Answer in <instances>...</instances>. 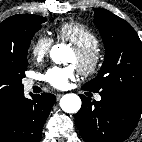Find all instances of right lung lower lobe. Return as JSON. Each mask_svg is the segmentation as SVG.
Segmentation results:
<instances>
[{"mask_svg": "<svg viewBox=\"0 0 142 142\" xmlns=\"http://www.w3.org/2000/svg\"><path fill=\"white\" fill-rule=\"evenodd\" d=\"M24 93L14 103L4 123L0 125V142H39L42 128L54 105L53 94L32 95Z\"/></svg>", "mask_w": 142, "mask_h": 142, "instance_id": "98d812e1", "label": "right lung lower lobe"}]
</instances>
